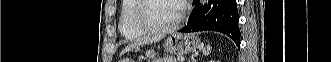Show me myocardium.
<instances>
[{"instance_id": "myocardium-1", "label": "myocardium", "mask_w": 331, "mask_h": 62, "mask_svg": "<svg viewBox=\"0 0 331 62\" xmlns=\"http://www.w3.org/2000/svg\"><path fill=\"white\" fill-rule=\"evenodd\" d=\"M148 1L149 0H137L133 20L138 29L143 31L145 34H161L173 31L180 26L186 12L185 1H179V15L173 23L167 26H153L144 18L143 12Z\"/></svg>"}]
</instances>
